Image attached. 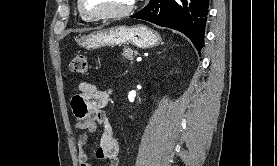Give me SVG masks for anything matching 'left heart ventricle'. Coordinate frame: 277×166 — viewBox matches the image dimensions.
Instances as JSON below:
<instances>
[{
  "label": "left heart ventricle",
  "instance_id": "left-heart-ventricle-1",
  "mask_svg": "<svg viewBox=\"0 0 277 166\" xmlns=\"http://www.w3.org/2000/svg\"><path fill=\"white\" fill-rule=\"evenodd\" d=\"M131 0H83V7L89 13L100 14L120 11L126 8Z\"/></svg>",
  "mask_w": 277,
  "mask_h": 166
}]
</instances>
